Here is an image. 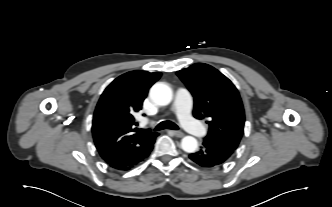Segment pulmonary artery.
Wrapping results in <instances>:
<instances>
[{
  "label": "pulmonary artery",
  "instance_id": "obj_1",
  "mask_svg": "<svg viewBox=\"0 0 332 207\" xmlns=\"http://www.w3.org/2000/svg\"><path fill=\"white\" fill-rule=\"evenodd\" d=\"M193 108V99L190 93L185 88H179L176 91L175 100L173 104V111L175 112L181 125L196 136H204L207 133L205 127L199 125L191 116Z\"/></svg>",
  "mask_w": 332,
  "mask_h": 207
}]
</instances>
